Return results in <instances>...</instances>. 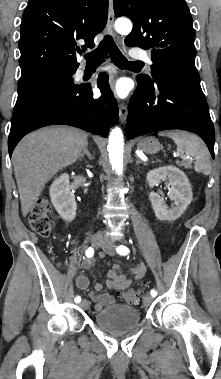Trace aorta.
I'll return each mask as SVG.
<instances>
[{
	"label": "aorta",
	"mask_w": 221,
	"mask_h": 379,
	"mask_svg": "<svg viewBox=\"0 0 221 379\" xmlns=\"http://www.w3.org/2000/svg\"><path fill=\"white\" fill-rule=\"evenodd\" d=\"M115 29L120 34H128L132 30V23L129 19H117ZM107 150L112 169L116 174L121 176L123 174L124 138L122 130L119 127H115L111 130Z\"/></svg>",
	"instance_id": "762f6f07"
}]
</instances>
